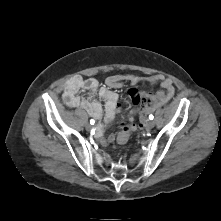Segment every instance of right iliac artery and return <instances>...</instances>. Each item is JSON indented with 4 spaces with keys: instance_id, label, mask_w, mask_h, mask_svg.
Returning <instances> with one entry per match:
<instances>
[{
    "instance_id": "right-iliac-artery-1",
    "label": "right iliac artery",
    "mask_w": 221,
    "mask_h": 221,
    "mask_svg": "<svg viewBox=\"0 0 221 221\" xmlns=\"http://www.w3.org/2000/svg\"><path fill=\"white\" fill-rule=\"evenodd\" d=\"M90 124H91V125H94V124H95V120L91 119V120H90Z\"/></svg>"
}]
</instances>
